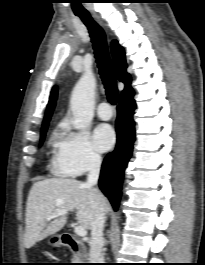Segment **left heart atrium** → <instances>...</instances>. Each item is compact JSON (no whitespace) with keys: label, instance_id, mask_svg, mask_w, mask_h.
I'll list each match as a JSON object with an SVG mask.
<instances>
[{"label":"left heart atrium","instance_id":"obj_1","mask_svg":"<svg viewBox=\"0 0 205 265\" xmlns=\"http://www.w3.org/2000/svg\"><path fill=\"white\" fill-rule=\"evenodd\" d=\"M94 143L98 150L107 151L115 143V133L107 124L99 125L94 131Z\"/></svg>","mask_w":205,"mask_h":265}]
</instances>
